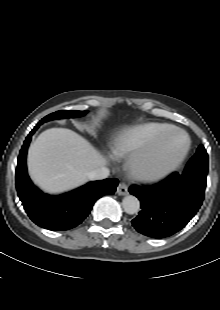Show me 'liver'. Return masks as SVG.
<instances>
[{
	"instance_id": "liver-1",
	"label": "liver",
	"mask_w": 220,
	"mask_h": 310,
	"mask_svg": "<svg viewBox=\"0 0 220 310\" xmlns=\"http://www.w3.org/2000/svg\"><path fill=\"white\" fill-rule=\"evenodd\" d=\"M106 163V158L86 139L65 128L45 130L28 152L31 178L49 193H61L86 183L87 174Z\"/></svg>"
}]
</instances>
